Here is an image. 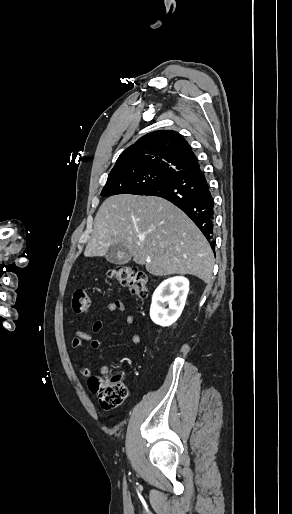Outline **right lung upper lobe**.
<instances>
[{"label":"right lung upper lobe","mask_w":292,"mask_h":514,"mask_svg":"<svg viewBox=\"0 0 292 514\" xmlns=\"http://www.w3.org/2000/svg\"><path fill=\"white\" fill-rule=\"evenodd\" d=\"M198 164L187 141L177 132L158 130L148 133L125 149L109 176L143 172L174 174Z\"/></svg>","instance_id":"obj_1"}]
</instances>
